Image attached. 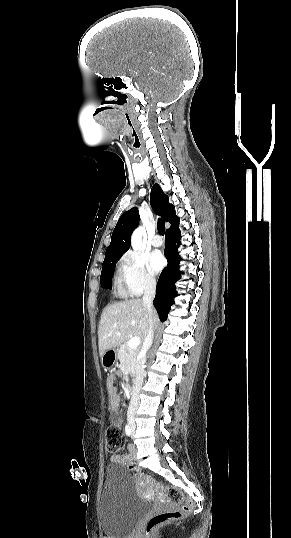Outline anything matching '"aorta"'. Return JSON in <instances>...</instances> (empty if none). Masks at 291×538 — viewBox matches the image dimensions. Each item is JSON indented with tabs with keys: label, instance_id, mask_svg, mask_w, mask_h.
I'll return each mask as SVG.
<instances>
[{
	"label": "aorta",
	"instance_id": "aorta-1",
	"mask_svg": "<svg viewBox=\"0 0 291 538\" xmlns=\"http://www.w3.org/2000/svg\"><path fill=\"white\" fill-rule=\"evenodd\" d=\"M142 232H143L142 228H137L133 232V235H132V238H131V245H132L133 249H135V250H139L141 248Z\"/></svg>",
	"mask_w": 291,
	"mask_h": 538
}]
</instances>
